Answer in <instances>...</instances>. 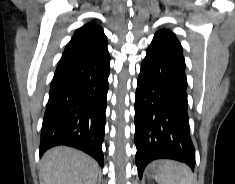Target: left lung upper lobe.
Here are the masks:
<instances>
[{
	"instance_id": "5c2ea615",
	"label": "left lung upper lobe",
	"mask_w": 235,
	"mask_h": 184,
	"mask_svg": "<svg viewBox=\"0 0 235 184\" xmlns=\"http://www.w3.org/2000/svg\"><path fill=\"white\" fill-rule=\"evenodd\" d=\"M160 36H168L171 39L177 40L175 34L172 31H170V30H165V29L159 30L158 32H156L154 38L160 37Z\"/></svg>"
}]
</instances>
